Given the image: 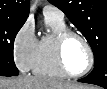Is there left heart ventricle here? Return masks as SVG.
Returning <instances> with one entry per match:
<instances>
[{
	"label": "left heart ventricle",
	"mask_w": 107,
	"mask_h": 89,
	"mask_svg": "<svg viewBox=\"0 0 107 89\" xmlns=\"http://www.w3.org/2000/svg\"><path fill=\"white\" fill-rule=\"evenodd\" d=\"M64 59L71 73L77 74L86 69L89 62V55L80 39L71 37L67 40L64 48Z\"/></svg>",
	"instance_id": "left-heart-ventricle-1"
}]
</instances>
